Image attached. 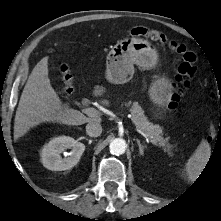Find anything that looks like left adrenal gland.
Here are the masks:
<instances>
[{
  "label": "left adrenal gland",
  "instance_id": "obj_1",
  "mask_svg": "<svg viewBox=\"0 0 221 221\" xmlns=\"http://www.w3.org/2000/svg\"><path fill=\"white\" fill-rule=\"evenodd\" d=\"M137 141V144L139 146V152H140V155L143 156L144 155V149L146 148V146H143L141 143H140V140L136 139Z\"/></svg>",
  "mask_w": 221,
  "mask_h": 221
}]
</instances>
